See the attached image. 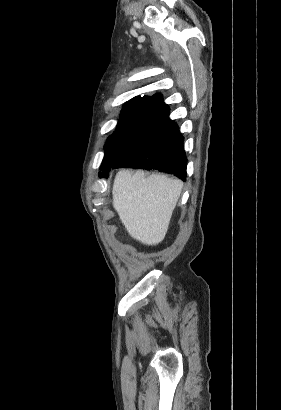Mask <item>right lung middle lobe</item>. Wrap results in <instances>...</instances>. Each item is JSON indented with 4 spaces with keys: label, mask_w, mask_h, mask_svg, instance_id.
<instances>
[{
    "label": "right lung middle lobe",
    "mask_w": 281,
    "mask_h": 410,
    "mask_svg": "<svg viewBox=\"0 0 281 410\" xmlns=\"http://www.w3.org/2000/svg\"><path fill=\"white\" fill-rule=\"evenodd\" d=\"M117 131L106 141L102 172L109 171L117 162L169 114L168 110L148 106H123ZM100 172L99 174H101Z\"/></svg>",
    "instance_id": "dd1d6c3e"
}]
</instances>
